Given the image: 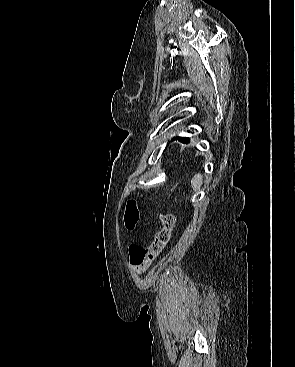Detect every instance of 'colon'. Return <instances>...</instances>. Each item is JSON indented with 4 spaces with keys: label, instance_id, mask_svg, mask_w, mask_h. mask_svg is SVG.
<instances>
[{
    "label": "colon",
    "instance_id": "obj_1",
    "mask_svg": "<svg viewBox=\"0 0 295 367\" xmlns=\"http://www.w3.org/2000/svg\"><path fill=\"white\" fill-rule=\"evenodd\" d=\"M139 219V210L134 201H130L127 205L124 221L128 229L135 228ZM162 228L156 233L154 240L146 247H140L132 244L129 247V258L133 265L152 264L165 249L170 241L173 227L176 223V215L172 212L163 214Z\"/></svg>",
    "mask_w": 295,
    "mask_h": 367
}]
</instances>
